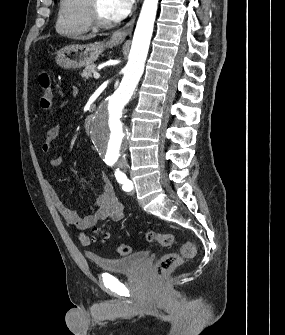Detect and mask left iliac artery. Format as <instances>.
Returning a JSON list of instances; mask_svg holds the SVG:
<instances>
[{
	"label": "left iliac artery",
	"mask_w": 285,
	"mask_h": 335,
	"mask_svg": "<svg viewBox=\"0 0 285 335\" xmlns=\"http://www.w3.org/2000/svg\"><path fill=\"white\" fill-rule=\"evenodd\" d=\"M115 176L117 181L122 184V189L124 191H131L133 189L132 182L127 178V176L121 172L119 169H116Z\"/></svg>",
	"instance_id": "1"
}]
</instances>
